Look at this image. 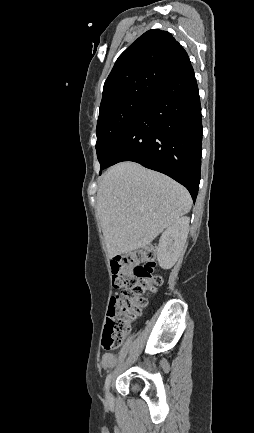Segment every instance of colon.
Masks as SVG:
<instances>
[{
  "mask_svg": "<svg viewBox=\"0 0 254 433\" xmlns=\"http://www.w3.org/2000/svg\"><path fill=\"white\" fill-rule=\"evenodd\" d=\"M113 285L120 293L111 298L104 329L103 349L119 347L132 321L147 305V296L163 282L156 270V248L148 247L116 257L112 264Z\"/></svg>",
  "mask_w": 254,
  "mask_h": 433,
  "instance_id": "5ec220e1",
  "label": "colon"
}]
</instances>
